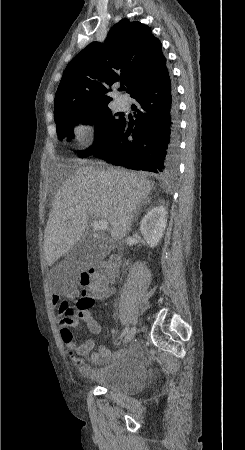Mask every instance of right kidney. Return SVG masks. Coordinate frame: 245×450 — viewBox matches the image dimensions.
Returning <instances> with one entry per match:
<instances>
[{
  "label": "right kidney",
  "mask_w": 245,
  "mask_h": 450,
  "mask_svg": "<svg viewBox=\"0 0 245 450\" xmlns=\"http://www.w3.org/2000/svg\"><path fill=\"white\" fill-rule=\"evenodd\" d=\"M167 211L163 206L152 208L141 221L140 231L147 244L154 248L160 242L167 224Z\"/></svg>",
  "instance_id": "obj_1"
}]
</instances>
